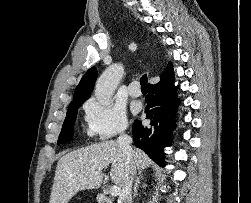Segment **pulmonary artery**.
Returning <instances> with one entry per match:
<instances>
[{"label": "pulmonary artery", "mask_w": 251, "mask_h": 203, "mask_svg": "<svg viewBox=\"0 0 251 203\" xmlns=\"http://www.w3.org/2000/svg\"><path fill=\"white\" fill-rule=\"evenodd\" d=\"M128 93L132 97H139L141 95V90L137 81H133L128 86Z\"/></svg>", "instance_id": "1"}]
</instances>
